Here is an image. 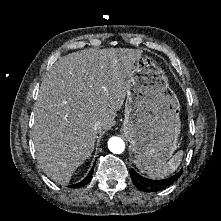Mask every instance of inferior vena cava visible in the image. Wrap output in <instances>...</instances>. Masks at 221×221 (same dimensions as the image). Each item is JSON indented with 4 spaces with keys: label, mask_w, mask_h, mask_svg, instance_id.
Masks as SVG:
<instances>
[{
    "label": "inferior vena cava",
    "mask_w": 221,
    "mask_h": 221,
    "mask_svg": "<svg viewBox=\"0 0 221 221\" xmlns=\"http://www.w3.org/2000/svg\"><path fill=\"white\" fill-rule=\"evenodd\" d=\"M101 126H102L101 122H100V121H97V122L94 123L93 129H94L95 131H98V130L101 128Z\"/></svg>",
    "instance_id": "inferior-vena-cava-1"
}]
</instances>
